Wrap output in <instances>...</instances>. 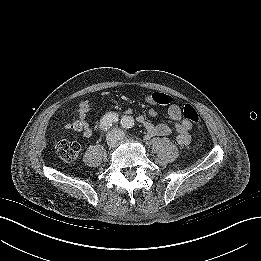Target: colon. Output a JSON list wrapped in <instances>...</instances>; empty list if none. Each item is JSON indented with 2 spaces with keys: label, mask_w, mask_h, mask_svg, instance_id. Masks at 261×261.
<instances>
[{
  "label": "colon",
  "mask_w": 261,
  "mask_h": 261,
  "mask_svg": "<svg viewBox=\"0 0 261 261\" xmlns=\"http://www.w3.org/2000/svg\"><path fill=\"white\" fill-rule=\"evenodd\" d=\"M154 98L159 104H168L172 101L171 96L160 92H155ZM183 116L194 124L198 130H201L200 115L193 105H184ZM66 128L73 133H78L82 130V125L79 120H72L66 125ZM55 150L64 162L72 164L78 158L80 146L75 142L60 141L56 145Z\"/></svg>",
  "instance_id": "obj_1"
}]
</instances>
